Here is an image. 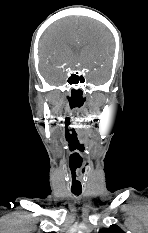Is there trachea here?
I'll return each mask as SVG.
<instances>
[{"instance_id":"1","label":"trachea","mask_w":148,"mask_h":233,"mask_svg":"<svg viewBox=\"0 0 148 233\" xmlns=\"http://www.w3.org/2000/svg\"><path fill=\"white\" fill-rule=\"evenodd\" d=\"M72 193H73L74 195L79 196V195L81 194V191H73V190H72Z\"/></svg>"}]
</instances>
